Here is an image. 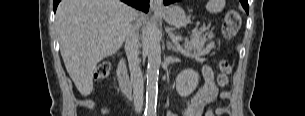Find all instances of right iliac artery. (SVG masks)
I'll list each match as a JSON object with an SVG mask.
<instances>
[{"label":"right iliac artery","mask_w":305,"mask_h":116,"mask_svg":"<svg viewBox=\"0 0 305 116\" xmlns=\"http://www.w3.org/2000/svg\"><path fill=\"white\" fill-rule=\"evenodd\" d=\"M143 116H151L149 113L145 112Z\"/></svg>","instance_id":"1"}]
</instances>
